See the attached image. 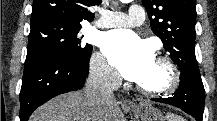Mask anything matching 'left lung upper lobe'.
Returning <instances> with one entry per match:
<instances>
[{
	"instance_id": "5c2ea615",
	"label": "left lung upper lobe",
	"mask_w": 217,
	"mask_h": 121,
	"mask_svg": "<svg viewBox=\"0 0 217 121\" xmlns=\"http://www.w3.org/2000/svg\"><path fill=\"white\" fill-rule=\"evenodd\" d=\"M158 36L181 72L201 77L195 56L196 0H142Z\"/></svg>"
}]
</instances>
